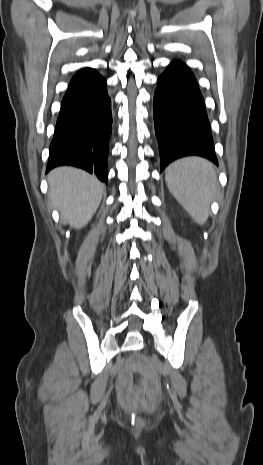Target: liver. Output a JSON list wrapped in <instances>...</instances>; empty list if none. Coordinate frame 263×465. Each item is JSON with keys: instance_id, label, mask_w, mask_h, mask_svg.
I'll return each mask as SVG.
<instances>
[{"instance_id": "6515ba94", "label": "liver", "mask_w": 263, "mask_h": 465, "mask_svg": "<svg viewBox=\"0 0 263 465\" xmlns=\"http://www.w3.org/2000/svg\"><path fill=\"white\" fill-rule=\"evenodd\" d=\"M50 200L64 222L80 229L92 218L103 195V185L93 175L73 167H58L48 174Z\"/></svg>"}]
</instances>
